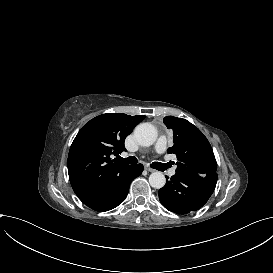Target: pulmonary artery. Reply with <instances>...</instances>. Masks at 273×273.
Here are the masks:
<instances>
[{"mask_svg":"<svg viewBox=\"0 0 273 273\" xmlns=\"http://www.w3.org/2000/svg\"><path fill=\"white\" fill-rule=\"evenodd\" d=\"M169 144V141L165 137H161L158 139L157 143L154 146V149L156 152L161 153L164 151L165 147H167Z\"/></svg>","mask_w":273,"mask_h":273,"instance_id":"e3ab8cb5","label":"pulmonary artery"}]
</instances>
